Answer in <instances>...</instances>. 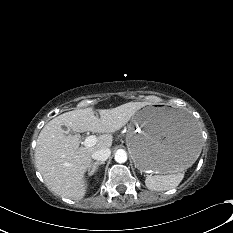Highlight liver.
I'll return each instance as SVG.
<instances>
[{
	"instance_id": "liver-1",
	"label": "liver",
	"mask_w": 233,
	"mask_h": 233,
	"mask_svg": "<svg viewBox=\"0 0 233 233\" xmlns=\"http://www.w3.org/2000/svg\"><path fill=\"white\" fill-rule=\"evenodd\" d=\"M147 102H128L116 108L102 109L100 118L92 108L63 113L41 130L35 149V165L47 188L54 194L73 200L87 191L85 173L92 167L91 156L101 148H110L112 133L120 130ZM62 126L74 132L103 133L92 147H79L78 135H66Z\"/></svg>"
}]
</instances>
